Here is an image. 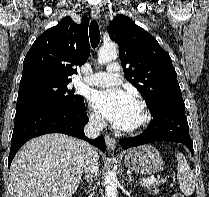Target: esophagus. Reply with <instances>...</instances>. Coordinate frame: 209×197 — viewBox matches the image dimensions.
<instances>
[{"label":"esophagus","instance_id":"obj_1","mask_svg":"<svg viewBox=\"0 0 209 197\" xmlns=\"http://www.w3.org/2000/svg\"><path fill=\"white\" fill-rule=\"evenodd\" d=\"M91 15L94 18H100V9L98 6H93L91 8ZM105 142L108 150H114L116 148V140L109 135H105Z\"/></svg>","mask_w":209,"mask_h":197}]
</instances>
